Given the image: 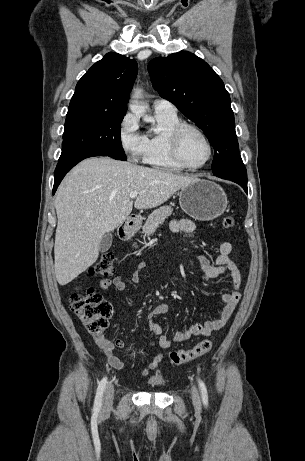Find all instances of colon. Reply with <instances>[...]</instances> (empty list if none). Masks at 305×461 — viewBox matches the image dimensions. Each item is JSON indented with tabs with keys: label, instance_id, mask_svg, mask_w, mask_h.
Masks as SVG:
<instances>
[{
	"label": "colon",
	"instance_id": "5ec220e1",
	"mask_svg": "<svg viewBox=\"0 0 305 461\" xmlns=\"http://www.w3.org/2000/svg\"><path fill=\"white\" fill-rule=\"evenodd\" d=\"M236 225L235 219L226 215L222 219V227L232 229ZM91 272L102 277H112L116 273L113 255L103 254L93 266ZM69 305L73 313L79 318L84 328L90 334H100L107 326V319L112 315L113 308L93 288H89L85 294L74 292L70 296ZM213 346L210 339H205L190 349L172 351L169 354L170 361L180 365L207 354Z\"/></svg>",
	"mask_w": 305,
	"mask_h": 461
}]
</instances>
